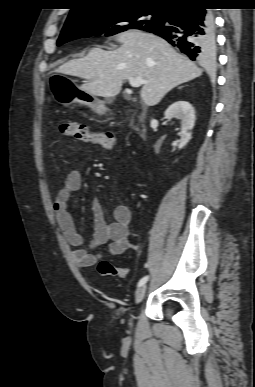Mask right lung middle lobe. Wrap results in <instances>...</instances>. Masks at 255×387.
<instances>
[{"label": "right lung middle lobe", "mask_w": 255, "mask_h": 387, "mask_svg": "<svg viewBox=\"0 0 255 387\" xmlns=\"http://www.w3.org/2000/svg\"><path fill=\"white\" fill-rule=\"evenodd\" d=\"M166 10L155 7L121 6L112 9L95 11L82 18L65 23L57 45L68 41L105 34L111 36L127 29L146 30L160 26L165 20ZM147 15H152L147 19Z\"/></svg>", "instance_id": "1"}]
</instances>
